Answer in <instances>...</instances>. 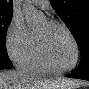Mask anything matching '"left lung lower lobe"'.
<instances>
[{
	"label": "left lung lower lobe",
	"instance_id": "left-lung-lower-lobe-1",
	"mask_svg": "<svg viewBox=\"0 0 89 89\" xmlns=\"http://www.w3.org/2000/svg\"><path fill=\"white\" fill-rule=\"evenodd\" d=\"M67 77L84 79L89 81V52L81 54L79 66Z\"/></svg>",
	"mask_w": 89,
	"mask_h": 89
}]
</instances>
